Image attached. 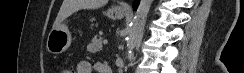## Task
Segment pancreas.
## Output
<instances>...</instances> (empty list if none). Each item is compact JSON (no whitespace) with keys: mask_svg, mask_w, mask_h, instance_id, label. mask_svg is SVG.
Masks as SVG:
<instances>
[{"mask_svg":"<svg viewBox=\"0 0 244 73\" xmlns=\"http://www.w3.org/2000/svg\"><path fill=\"white\" fill-rule=\"evenodd\" d=\"M102 50V38L101 36L96 35L91 43L87 46V51L89 53H97Z\"/></svg>","mask_w":244,"mask_h":73,"instance_id":"pancreas-1","label":"pancreas"}]
</instances>
